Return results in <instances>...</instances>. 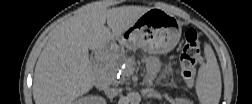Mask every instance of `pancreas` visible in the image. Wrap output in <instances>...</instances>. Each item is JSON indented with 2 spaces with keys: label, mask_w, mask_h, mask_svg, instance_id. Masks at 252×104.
<instances>
[{
  "label": "pancreas",
  "mask_w": 252,
  "mask_h": 104,
  "mask_svg": "<svg viewBox=\"0 0 252 104\" xmlns=\"http://www.w3.org/2000/svg\"><path fill=\"white\" fill-rule=\"evenodd\" d=\"M129 63L133 65L134 61L132 59H129ZM118 64L115 61H111L107 63L104 67V72L107 74H112L117 70ZM124 76H126V73H123Z\"/></svg>",
  "instance_id": "cf45deb5"
}]
</instances>
